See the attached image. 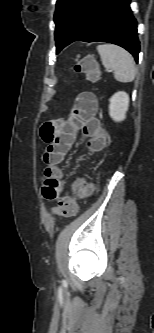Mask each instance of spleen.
<instances>
[{
    "label": "spleen",
    "instance_id": "spleen-1",
    "mask_svg": "<svg viewBox=\"0 0 154 333\" xmlns=\"http://www.w3.org/2000/svg\"><path fill=\"white\" fill-rule=\"evenodd\" d=\"M97 51L103 66L114 71V77L117 81L127 83L134 80L136 67L129 52L112 44L98 45Z\"/></svg>",
    "mask_w": 154,
    "mask_h": 333
}]
</instances>
